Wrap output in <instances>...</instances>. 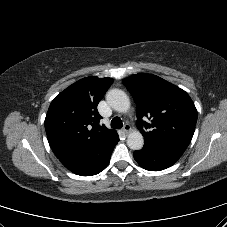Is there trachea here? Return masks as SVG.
<instances>
[{
  "mask_svg": "<svg viewBox=\"0 0 227 227\" xmlns=\"http://www.w3.org/2000/svg\"><path fill=\"white\" fill-rule=\"evenodd\" d=\"M123 123L122 120L119 117H114L111 121V127L112 128H116V129H120L122 128Z\"/></svg>",
  "mask_w": 227,
  "mask_h": 227,
  "instance_id": "obj_1",
  "label": "trachea"
}]
</instances>
